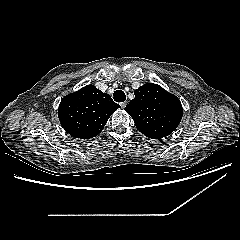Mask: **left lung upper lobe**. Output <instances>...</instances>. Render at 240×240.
<instances>
[{
  "instance_id": "obj_1",
  "label": "left lung upper lobe",
  "mask_w": 240,
  "mask_h": 240,
  "mask_svg": "<svg viewBox=\"0 0 240 240\" xmlns=\"http://www.w3.org/2000/svg\"><path fill=\"white\" fill-rule=\"evenodd\" d=\"M135 98L125 107L137 129L146 137L170 135L182 119L180 100L157 84L148 83L134 91Z\"/></svg>"
}]
</instances>
